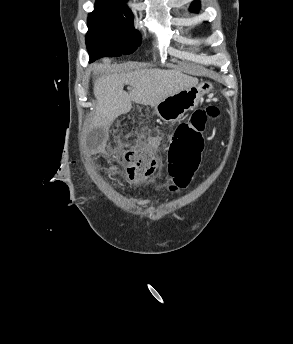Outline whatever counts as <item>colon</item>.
Here are the masks:
<instances>
[{
	"mask_svg": "<svg viewBox=\"0 0 293 344\" xmlns=\"http://www.w3.org/2000/svg\"><path fill=\"white\" fill-rule=\"evenodd\" d=\"M219 114L216 106L197 109L176 128L170 143L172 191L184 189L191 181L204 149L207 123ZM152 156L153 149L149 142L137 144L125 152L124 165L131 184H145L150 180L154 167Z\"/></svg>",
	"mask_w": 293,
	"mask_h": 344,
	"instance_id": "1",
	"label": "colon"
}]
</instances>
